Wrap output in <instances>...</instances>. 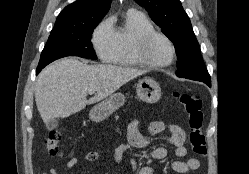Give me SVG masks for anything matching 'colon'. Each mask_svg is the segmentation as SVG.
Instances as JSON below:
<instances>
[{
  "instance_id": "5ec220e1",
  "label": "colon",
  "mask_w": 249,
  "mask_h": 174,
  "mask_svg": "<svg viewBox=\"0 0 249 174\" xmlns=\"http://www.w3.org/2000/svg\"><path fill=\"white\" fill-rule=\"evenodd\" d=\"M175 99L184 107L188 116V142L193 151L206 156L207 147L205 135L203 133V112L199 97L186 92H174ZM63 133L61 131H51L44 141V147L50 155L56 156L61 153L60 142Z\"/></svg>"
}]
</instances>
